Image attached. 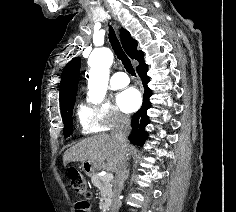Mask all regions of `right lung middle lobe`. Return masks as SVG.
<instances>
[{
  "mask_svg": "<svg viewBox=\"0 0 236 212\" xmlns=\"http://www.w3.org/2000/svg\"><path fill=\"white\" fill-rule=\"evenodd\" d=\"M75 103V98L66 101L61 108V113L64 122V137H68L72 134L73 129V121H72V113H73V106Z\"/></svg>",
  "mask_w": 236,
  "mask_h": 212,
  "instance_id": "dd1d6c3e",
  "label": "right lung middle lobe"
}]
</instances>
